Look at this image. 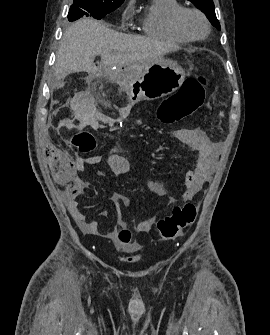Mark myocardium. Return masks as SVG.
Instances as JSON below:
<instances>
[{
  "label": "myocardium",
  "instance_id": "obj_1",
  "mask_svg": "<svg viewBox=\"0 0 270 335\" xmlns=\"http://www.w3.org/2000/svg\"><path fill=\"white\" fill-rule=\"evenodd\" d=\"M188 13H195V14L199 15L201 17V19L203 20V22L205 24V33L202 37H199V38L193 37L186 30V28L184 26V17ZM174 24H175L176 29L178 30V32L181 35H183L187 39L193 40V41H198V40L205 39L210 34V30H211L209 21H208L207 17L205 16V14L203 12H201L200 10L195 9V8H183L182 10H180L175 15Z\"/></svg>",
  "mask_w": 270,
  "mask_h": 335
}]
</instances>
